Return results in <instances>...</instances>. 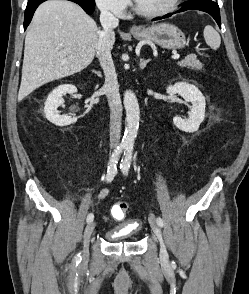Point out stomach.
Wrapping results in <instances>:
<instances>
[{"mask_svg":"<svg viewBox=\"0 0 249 294\" xmlns=\"http://www.w3.org/2000/svg\"><path fill=\"white\" fill-rule=\"evenodd\" d=\"M137 40L151 41L167 49H180L186 44L184 33L170 23H159L132 32Z\"/></svg>","mask_w":249,"mask_h":294,"instance_id":"0dacf381","label":"stomach"}]
</instances>
